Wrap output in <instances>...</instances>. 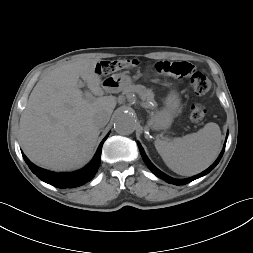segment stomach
I'll return each mask as SVG.
<instances>
[{
  "instance_id": "0dacf381",
  "label": "stomach",
  "mask_w": 253,
  "mask_h": 253,
  "mask_svg": "<svg viewBox=\"0 0 253 253\" xmlns=\"http://www.w3.org/2000/svg\"><path fill=\"white\" fill-rule=\"evenodd\" d=\"M132 79L125 73L113 74L104 81V86L108 91H121L129 86ZM181 106V98L175 90H171L165 100V106L156 111L150 118V126L155 130L168 129Z\"/></svg>"
}]
</instances>
